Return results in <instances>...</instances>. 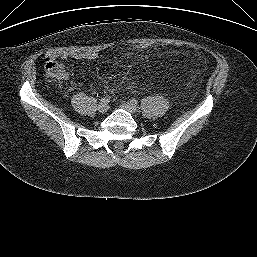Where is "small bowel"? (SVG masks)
<instances>
[{"label": "small bowel", "instance_id": "1", "mask_svg": "<svg viewBox=\"0 0 257 257\" xmlns=\"http://www.w3.org/2000/svg\"><path fill=\"white\" fill-rule=\"evenodd\" d=\"M98 54L94 51H76V50H51L46 54V60L55 59H95Z\"/></svg>", "mask_w": 257, "mask_h": 257}]
</instances>
